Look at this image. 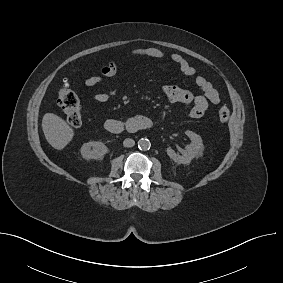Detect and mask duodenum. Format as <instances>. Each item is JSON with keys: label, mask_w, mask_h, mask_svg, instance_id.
<instances>
[{"label": "duodenum", "mask_w": 283, "mask_h": 283, "mask_svg": "<svg viewBox=\"0 0 283 283\" xmlns=\"http://www.w3.org/2000/svg\"><path fill=\"white\" fill-rule=\"evenodd\" d=\"M153 126L152 121L143 115L131 116L126 119H107L104 123L105 129L112 134H120L127 130L131 133H136L143 130H148Z\"/></svg>", "instance_id": "410a0bca"}]
</instances>
